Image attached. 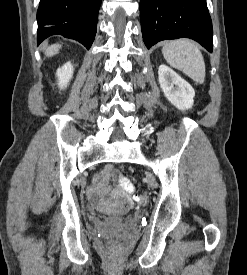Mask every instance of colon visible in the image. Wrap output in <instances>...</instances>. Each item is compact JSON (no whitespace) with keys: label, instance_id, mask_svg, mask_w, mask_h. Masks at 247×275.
<instances>
[{"label":"colon","instance_id":"colon-1","mask_svg":"<svg viewBox=\"0 0 247 275\" xmlns=\"http://www.w3.org/2000/svg\"><path fill=\"white\" fill-rule=\"evenodd\" d=\"M102 177H98L97 180H101ZM136 202L139 206H144L146 205L148 201V192L147 191H142L141 193L137 194L135 196Z\"/></svg>","mask_w":247,"mask_h":275}]
</instances>
